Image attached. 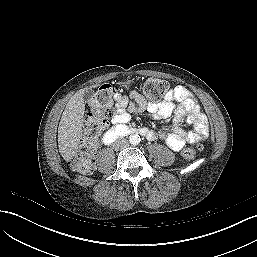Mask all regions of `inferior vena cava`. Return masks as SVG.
<instances>
[{"instance_id":"obj_1","label":"inferior vena cava","mask_w":257,"mask_h":257,"mask_svg":"<svg viewBox=\"0 0 257 257\" xmlns=\"http://www.w3.org/2000/svg\"><path fill=\"white\" fill-rule=\"evenodd\" d=\"M128 145H129L128 140H126L125 138H120L113 143V149L118 151L126 148Z\"/></svg>"}]
</instances>
